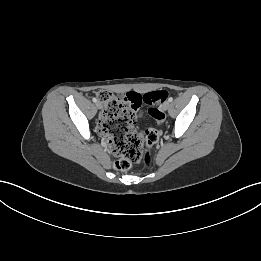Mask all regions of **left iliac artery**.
I'll return each instance as SVG.
<instances>
[{"label":"left iliac artery","instance_id":"left-iliac-artery-1","mask_svg":"<svg viewBox=\"0 0 261 261\" xmlns=\"http://www.w3.org/2000/svg\"><path fill=\"white\" fill-rule=\"evenodd\" d=\"M168 101H169V102H172V101H173V98H172V97H169V98H168Z\"/></svg>","mask_w":261,"mask_h":261}]
</instances>
